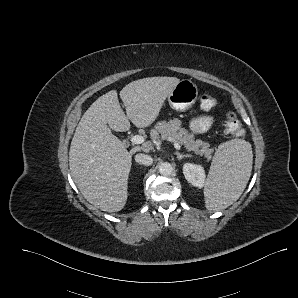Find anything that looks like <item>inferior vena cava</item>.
Returning a JSON list of instances; mask_svg holds the SVG:
<instances>
[{
	"label": "inferior vena cava",
	"instance_id": "1",
	"mask_svg": "<svg viewBox=\"0 0 298 298\" xmlns=\"http://www.w3.org/2000/svg\"><path fill=\"white\" fill-rule=\"evenodd\" d=\"M135 161L143 165H151L153 158L151 155L138 153L135 155Z\"/></svg>",
	"mask_w": 298,
	"mask_h": 298
}]
</instances>
